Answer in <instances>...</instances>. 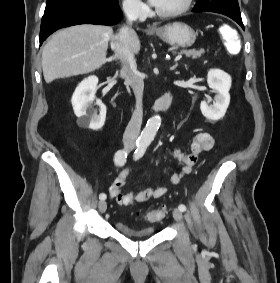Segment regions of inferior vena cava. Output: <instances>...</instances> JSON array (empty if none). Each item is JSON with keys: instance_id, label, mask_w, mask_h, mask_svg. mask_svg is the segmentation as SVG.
I'll use <instances>...</instances> for the list:
<instances>
[{"instance_id": "obj_1", "label": "inferior vena cava", "mask_w": 280, "mask_h": 283, "mask_svg": "<svg viewBox=\"0 0 280 283\" xmlns=\"http://www.w3.org/2000/svg\"><path fill=\"white\" fill-rule=\"evenodd\" d=\"M123 11L128 23H132L139 16L140 5L127 1L123 3ZM112 47L115 51V57L122 62L120 74L124 77L126 83L131 86L136 98L135 110L123 134V143L134 145L142 124L144 81L142 75L137 70L134 52L130 47V29L128 26L121 28L119 33L113 38Z\"/></svg>"}]
</instances>
